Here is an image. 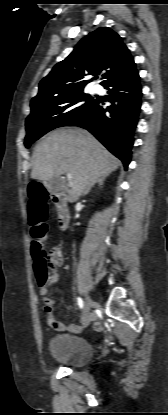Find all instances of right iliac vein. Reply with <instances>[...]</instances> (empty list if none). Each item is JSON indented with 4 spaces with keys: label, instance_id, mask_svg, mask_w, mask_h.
Segmentation results:
<instances>
[{
    "label": "right iliac vein",
    "instance_id": "right-iliac-vein-1",
    "mask_svg": "<svg viewBox=\"0 0 168 415\" xmlns=\"http://www.w3.org/2000/svg\"><path fill=\"white\" fill-rule=\"evenodd\" d=\"M92 304H93L92 299L90 298V296L87 295L86 298H85L83 313H82V316H81V323L82 324H85V323L88 322L89 317H90V310H91Z\"/></svg>",
    "mask_w": 168,
    "mask_h": 415
}]
</instances>
